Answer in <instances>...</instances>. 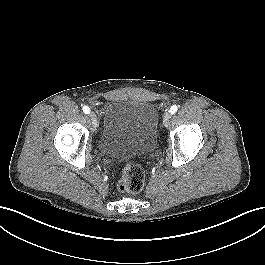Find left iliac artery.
Masks as SVG:
<instances>
[{
  "label": "left iliac artery",
  "instance_id": "obj_1",
  "mask_svg": "<svg viewBox=\"0 0 265 265\" xmlns=\"http://www.w3.org/2000/svg\"><path fill=\"white\" fill-rule=\"evenodd\" d=\"M177 110H178V107H177L176 105H173V106H171L169 112H170L171 114H175V113L177 112Z\"/></svg>",
  "mask_w": 265,
  "mask_h": 265
}]
</instances>
